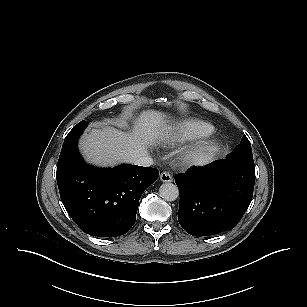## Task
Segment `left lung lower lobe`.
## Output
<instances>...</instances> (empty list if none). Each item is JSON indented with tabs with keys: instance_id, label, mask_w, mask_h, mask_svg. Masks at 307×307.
<instances>
[{
	"instance_id": "0a47b994",
	"label": "left lung lower lobe",
	"mask_w": 307,
	"mask_h": 307,
	"mask_svg": "<svg viewBox=\"0 0 307 307\" xmlns=\"http://www.w3.org/2000/svg\"><path fill=\"white\" fill-rule=\"evenodd\" d=\"M178 221L193 236L233 229L248 209L255 184L254 161L227 158L175 175Z\"/></svg>"
}]
</instances>
